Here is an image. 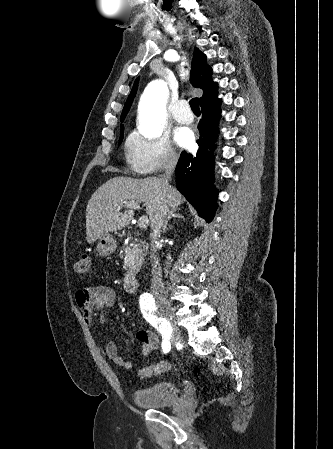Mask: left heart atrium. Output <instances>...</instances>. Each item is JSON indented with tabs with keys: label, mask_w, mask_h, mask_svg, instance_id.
Instances as JSON below:
<instances>
[{
	"label": "left heart atrium",
	"mask_w": 333,
	"mask_h": 449,
	"mask_svg": "<svg viewBox=\"0 0 333 449\" xmlns=\"http://www.w3.org/2000/svg\"><path fill=\"white\" fill-rule=\"evenodd\" d=\"M175 139L180 146H188L193 141V134L191 131L184 129L176 134Z\"/></svg>",
	"instance_id": "39dd6f15"
}]
</instances>
